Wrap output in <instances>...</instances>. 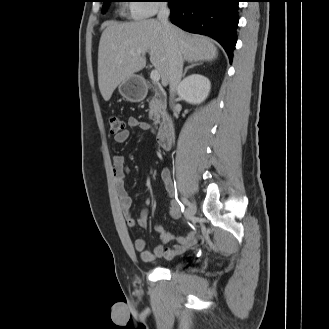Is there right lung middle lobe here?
Segmentation results:
<instances>
[{
    "instance_id": "obj_1",
    "label": "right lung middle lobe",
    "mask_w": 329,
    "mask_h": 329,
    "mask_svg": "<svg viewBox=\"0 0 329 329\" xmlns=\"http://www.w3.org/2000/svg\"><path fill=\"white\" fill-rule=\"evenodd\" d=\"M104 2L103 8H102V13H104L108 7L109 2H112L114 0H102Z\"/></svg>"
}]
</instances>
